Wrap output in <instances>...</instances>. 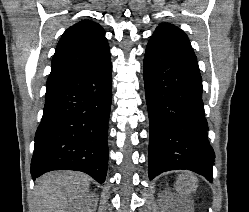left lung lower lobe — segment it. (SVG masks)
I'll use <instances>...</instances> for the list:
<instances>
[{
	"label": "left lung lower lobe",
	"mask_w": 249,
	"mask_h": 212,
	"mask_svg": "<svg viewBox=\"0 0 249 212\" xmlns=\"http://www.w3.org/2000/svg\"><path fill=\"white\" fill-rule=\"evenodd\" d=\"M144 85L150 122L149 178L187 169L212 181L215 155L207 139L197 60L151 45L145 53Z\"/></svg>",
	"instance_id": "0a47b994"
}]
</instances>
